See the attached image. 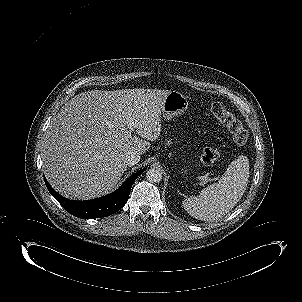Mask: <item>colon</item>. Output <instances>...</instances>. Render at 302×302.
<instances>
[{"instance_id": "1", "label": "colon", "mask_w": 302, "mask_h": 302, "mask_svg": "<svg viewBox=\"0 0 302 302\" xmlns=\"http://www.w3.org/2000/svg\"><path fill=\"white\" fill-rule=\"evenodd\" d=\"M211 112L219 122L225 126L232 134L233 140L237 145H244L248 139V133L241 122L230 113L220 102H214L211 105ZM219 156V150L216 146L210 145L204 148L201 153V160L204 163H213Z\"/></svg>"}]
</instances>
